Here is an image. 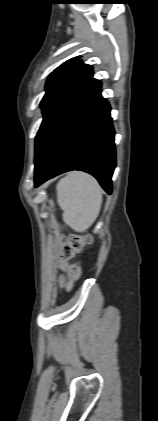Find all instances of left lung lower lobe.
<instances>
[{
    "label": "left lung lower lobe",
    "mask_w": 158,
    "mask_h": 421,
    "mask_svg": "<svg viewBox=\"0 0 158 421\" xmlns=\"http://www.w3.org/2000/svg\"><path fill=\"white\" fill-rule=\"evenodd\" d=\"M116 166L110 106L101 96V83L90 79L57 113L36 144L35 187L71 170L98 179L111 194Z\"/></svg>",
    "instance_id": "obj_1"
}]
</instances>
